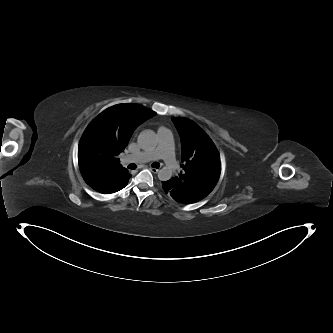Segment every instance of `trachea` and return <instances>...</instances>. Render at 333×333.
I'll list each match as a JSON object with an SVG mask.
<instances>
[{"label": "trachea", "instance_id": "1", "mask_svg": "<svg viewBox=\"0 0 333 333\" xmlns=\"http://www.w3.org/2000/svg\"><path fill=\"white\" fill-rule=\"evenodd\" d=\"M151 166L154 167V168H159V167H160V164H159L158 162H154V163H152ZM128 168H130V169H136V165H135V164H130V165L128 166Z\"/></svg>", "mask_w": 333, "mask_h": 333}]
</instances>
